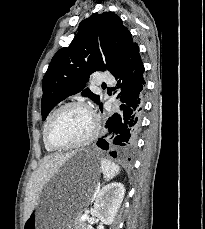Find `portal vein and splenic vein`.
I'll list each match as a JSON object with an SVG mask.
<instances>
[{
  "mask_svg": "<svg viewBox=\"0 0 205 229\" xmlns=\"http://www.w3.org/2000/svg\"><path fill=\"white\" fill-rule=\"evenodd\" d=\"M86 217H88L87 214L83 215L82 216V219H85Z\"/></svg>",
  "mask_w": 205,
  "mask_h": 229,
  "instance_id": "obj_1",
  "label": "portal vein and splenic vein"
}]
</instances>
